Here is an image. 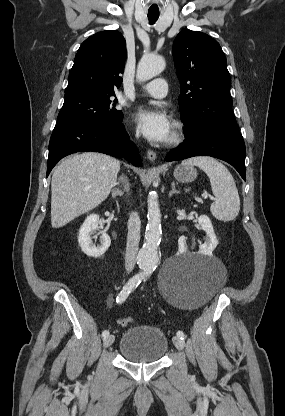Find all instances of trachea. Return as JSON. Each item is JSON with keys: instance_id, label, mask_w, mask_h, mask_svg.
<instances>
[{"instance_id": "1", "label": "trachea", "mask_w": 285, "mask_h": 416, "mask_svg": "<svg viewBox=\"0 0 285 416\" xmlns=\"http://www.w3.org/2000/svg\"><path fill=\"white\" fill-rule=\"evenodd\" d=\"M159 18V13H148V20L153 25Z\"/></svg>"}]
</instances>
